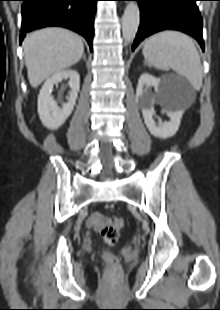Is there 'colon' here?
Masks as SVG:
<instances>
[{"mask_svg": "<svg viewBox=\"0 0 220 310\" xmlns=\"http://www.w3.org/2000/svg\"><path fill=\"white\" fill-rule=\"evenodd\" d=\"M124 227V221L121 218L107 220L102 226V239L106 245H114L118 239L121 229ZM103 257L107 263V272L114 276L119 273V260L113 253L104 251Z\"/></svg>", "mask_w": 220, "mask_h": 310, "instance_id": "colon-1", "label": "colon"}]
</instances>
